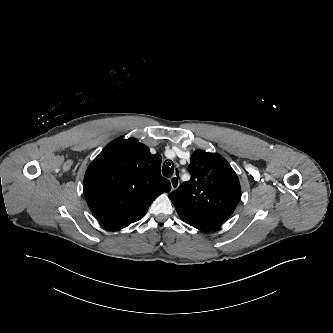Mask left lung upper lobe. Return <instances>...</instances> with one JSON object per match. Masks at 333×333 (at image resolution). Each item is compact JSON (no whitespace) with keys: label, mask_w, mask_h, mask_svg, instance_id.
I'll return each instance as SVG.
<instances>
[{"label":"left lung upper lobe","mask_w":333,"mask_h":333,"mask_svg":"<svg viewBox=\"0 0 333 333\" xmlns=\"http://www.w3.org/2000/svg\"><path fill=\"white\" fill-rule=\"evenodd\" d=\"M191 179L169 194L173 204L193 207L229 205L234 208L241 198L239 179L220 155L195 151L188 167Z\"/></svg>","instance_id":"obj_1"}]
</instances>
